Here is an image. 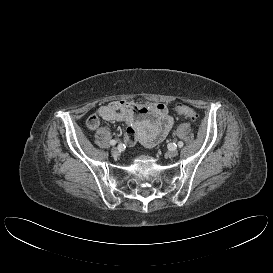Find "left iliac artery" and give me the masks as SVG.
<instances>
[{
	"label": "left iliac artery",
	"mask_w": 273,
	"mask_h": 273,
	"mask_svg": "<svg viewBox=\"0 0 273 273\" xmlns=\"http://www.w3.org/2000/svg\"><path fill=\"white\" fill-rule=\"evenodd\" d=\"M177 145H178L179 148H181V147H183L184 144H183L182 141H179V142L177 143Z\"/></svg>",
	"instance_id": "left-iliac-artery-1"
}]
</instances>
